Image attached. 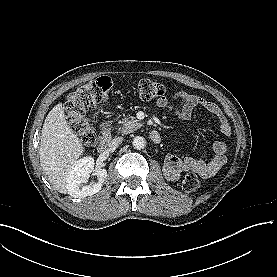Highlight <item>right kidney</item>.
Returning a JSON list of instances; mask_svg holds the SVG:
<instances>
[{
    "instance_id": "right-kidney-1",
    "label": "right kidney",
    "mask_w": 277,
    "mask_h": 277,
    "mask_svg": "<svg viewBox=\"0 0 277 277\" xmlns=\"http://www.w3.org/2000/svg\"><path fill=\"white\" fill-rule=\"evenodd\" d=\"M94 164V158L90 156L83 157L79 159L68 172L67 178L70 189L76 192L77 196H91L100 191L102 183L107 176V171L105 169H101L97 172L98 183L83 185L94 170Z\"/></svg>"
}]
</instances>
